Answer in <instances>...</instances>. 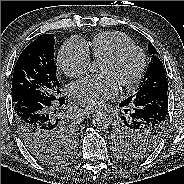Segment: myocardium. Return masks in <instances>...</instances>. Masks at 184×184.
<instances>
[{
    "mask_svg": "<svg viewBox=\"0 0 184 184\" xmlns=\"http://www.w3.org/2000/svg\"><path fill=\"white\" fill-rule=\"evenodd\" d=\"M135 53L139 57V64L135 73L128 79L122 80L119 84L125 89L135 87L141 80L147 65V56L143 49L136 45H129L120 48L114 54L103 59L111 65H118L128 54Z\"/></svg>",
    "mask_w": 184,
    "mask_h": 184,
    "instance_id": "obj_1",
    "label": "myocardium"
}]
</instances>
